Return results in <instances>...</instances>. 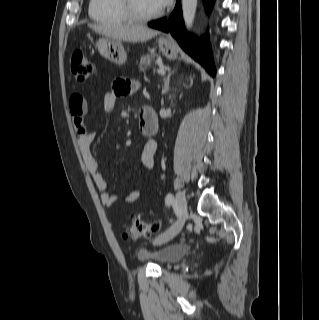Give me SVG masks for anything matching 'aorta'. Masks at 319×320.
I'll use <instances>...</instances> for the list:
<instances>
[{
	"mask_svg": "<svg viewBox=\"0 0 319 320\" xmlns=\"http://www.w3.org/2000/svg\"><path fill=\"white\" fill-rule=\"evenodd\" d=\"M197 2L198 0H182L183 19L188 30H190L193 25Z\"/></svg>",
	"mask_w": 319,
	"mask_h": 320,
	"instance_id": "762f6f07",
	"label": "aorta"
}]
</instances>
